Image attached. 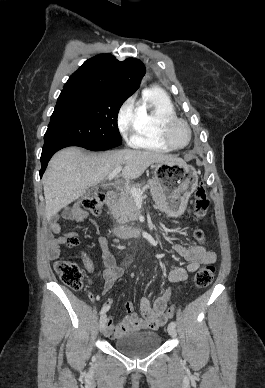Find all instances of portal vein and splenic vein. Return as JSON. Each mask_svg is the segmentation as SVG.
<instances>
[{
    "label": "portal vein and splenic vein",
    "mask_w": 265,
    "mask_h": 388,
    "mask_svg": "<svg viewBox=\"0 0 265 388\" xmlns=\"http://www.w3.org/2000/svg\"><path fill=\"white\" fill-rule=\"evenodd\" d=\"M121 170L122 166H117V168H115V170L109 174L107 180H113V178H116L117 174H120ZM146 188H149V186H144L142 190H140V188H131L130 194L132 198H143L142 194H144Z\"/></svg>",
    "instance_id": "portal-vein-and-splenic-vein-1"
}]
</instances>
